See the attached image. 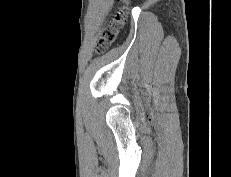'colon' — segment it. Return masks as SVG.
<instances>
[{"label": "colon", "instance_id": "obj_1", "mask_svg": "<svg viewBox=\"0 0 231 177\" xmlns=\"http://www.w3.org/2000/svg\"><path fill=\"white\" fill-rule=\"evenodd\" d=\"M123 3L122 9L119 13L110 21L108 27L103 31L99 43L97 46V52H102L107 49L116 39L117 34L124 24V12L128 0H121Z\"/></svg>", "mask_w": 231, "mask_h": 177}]
</instances>
